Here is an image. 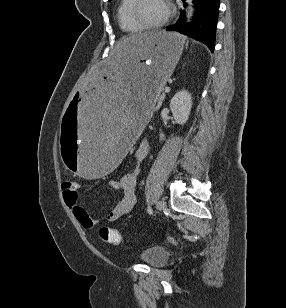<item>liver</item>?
I'll return each mask as SVG.
<instances>
[{
    "mask_svg": "<svg viewBox=\"0 0 286 308\" xmlns=\"http://www.w3.org/2000/svg\"><path fill=\"white\" fill-rule=\"evenodd\" d=\"M151 33H144V34H138V35H134L132 37H129V38H134V37H138V36H148L150 35ZM128 39V38H126ZM126 39H123L122 41L119 42V44L116 46L115 50H114V55H119V53L121 52L122 50V43L123 41H125Z\"/></svg>",
    "mask_w": 286,
    "mask_h": 308,
    "instance_id": "6515ba94",
    "label": "liver"
}]
</instances>
